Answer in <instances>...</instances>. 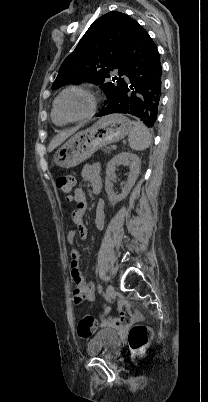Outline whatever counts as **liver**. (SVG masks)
Masks as SVG:
<instances>
[{"label": "liver", "instance_id": "6515ba94", "mask_svg": "<svg viewBox=\"0 0 208 402\" xmlns=\"http://www.w3.org/2000/svg\"><path fill=\"white\" fill-rule=\"evenodd\" d=\"M80 126H77V128H71V130H66V132H60V134H57L53 140H51L49 144V152H52V150H55V148H58L60 144H63L69 136H72V134H75L77 130H79Z\"/></svg>", "mask_w": 208, "mask_h": 402}]
</instances>
